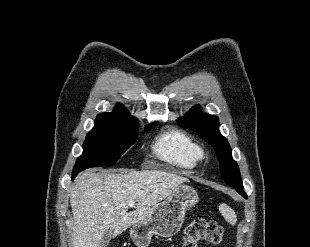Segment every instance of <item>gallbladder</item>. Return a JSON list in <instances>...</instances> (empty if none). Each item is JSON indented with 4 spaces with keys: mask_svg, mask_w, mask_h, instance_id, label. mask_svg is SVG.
Masks as SVG:
<instances>
[{
    "mask_svg": "<svg viewBox=\"0 0 310 247\" xmlns=\"http://www.w3.org/2000/svg\"><path fill=\"white\" fill-rule=\"evenodd\" d=\"M114 237L113 233L111 230H107L100 241V247H107V245L109 244L110 240Z\"/></svg>",
    "mask_w": 310,
    "mask_h": 247,
    "instance_id": "1",
    "label": "gallbladder"
}]
</instances>
